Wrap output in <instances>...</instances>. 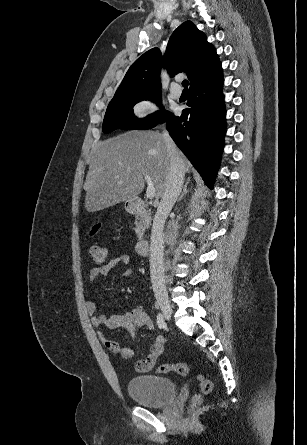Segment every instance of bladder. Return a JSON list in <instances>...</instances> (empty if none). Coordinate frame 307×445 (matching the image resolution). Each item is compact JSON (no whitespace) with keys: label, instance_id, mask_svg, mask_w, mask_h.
Returning a JSON list of instances; mask_svg holds the SVG:
<instances>
[{"label":"bladder","instance_id":"obj_1","mask_svg":"<svg viewBox=\"0 0 307 445\" xmlns=\"http://www.w3.org/2000/svg\"><path fill=\"white\" fill-rule=\"evenodd\" d=\"M127 390L130 397L140 405L159 408L174 400L177 385L165 377L142 374L128 381Z\"/></svg>","mask_w":307,"mask_h":445}]
</instances>
